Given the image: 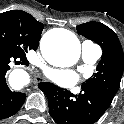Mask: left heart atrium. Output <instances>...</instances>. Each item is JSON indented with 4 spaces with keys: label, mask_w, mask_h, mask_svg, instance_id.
<instances>
[{
    "label": "left heart atrium",
    "mask_w": 124,
    "mask_h": 124,
    "mask_svg": "<svg viewBox=\"0 0 124 124\" xmlns=\"http://www.w3.org/2000/svg\"><path fill=\"white\" fill-rule=\"evenodd\" d=\"M46 75L50 81L63 88L72 87L80 80L79 74L70 69H49Z\"/></svg>",
    "instance_id": "left-heart-atrium-1"
}]
</instances>
